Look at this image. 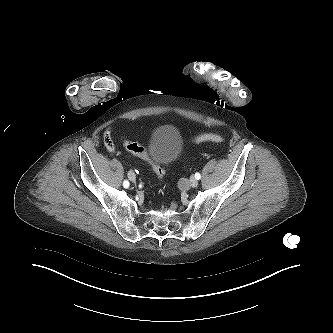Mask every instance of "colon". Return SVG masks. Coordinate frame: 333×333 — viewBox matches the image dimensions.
Listing matches in <instances>:
<instances>
[{
    "label": "colon",
    "mask_w": 333,
    "mask_h": 333,
    "mask_svg": "<svg viewBox=\"0 0 333 333\" xmlns=\"http://www.w3.org/2000/svg\"><path fill=\"white\" fill-rule=\"evenodd\" d=\"M223 141H224V138L222 136H220L218 134H213V133L202 134V135H199L196 138H194L195 143H203V142L221 143ZM124 147L128 152L151 162L148 152L139 143L131 141V140H125ZM152 167H153V170H154L157 178L160 181H162L164 179V175H165L164 169L160 165H157L154 163H152Z\"/></svg>",
    "instance_id": "5ec220e1"
}]
</instances>
